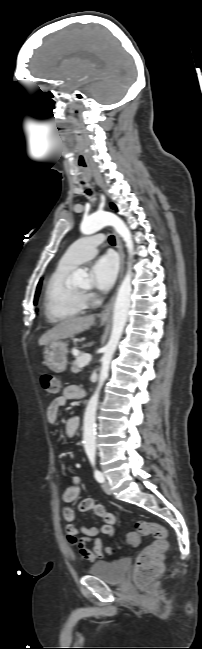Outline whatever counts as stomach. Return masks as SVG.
Here are the masks:
<instances>
[{
  "label": "stomach",
  "mask_w": 202,
  "mask_h": 649,
  "mask_svg": "<svg viewBox=\"0 0 202 649\" xmlns=\"http://www.w3.org/2000/svg\"><path fill=\"white\" fill-rule=\"evenodd\" d=\"M105 323L106 320L101 319V325ZM67 353V344L63 341L57 340L46 344L43 349L46 366L53 372H63L67 366Z\"/></svg>",
  "instance_id": "1"
}]
</instances>
